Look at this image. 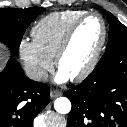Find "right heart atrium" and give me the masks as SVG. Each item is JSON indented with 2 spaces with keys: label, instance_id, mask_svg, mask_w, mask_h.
<instances>
[{
  "label": "right heart atrium",
  "instance_id": "obj_1",
  "mask_svg": "<svg viewBox=\"0 0 127 127\" xmlns=\"http://www.w3.org/2000/svg\"><path fill=\"white\" fill-rule=\"evenodd\" d=\"M19 57L31 79L43 81L53 68V60L45 55L34 41L22 39L18 46Z\"/></svg>",
  "mask_w": 127,
  "mask_h": 127
}]
</instances>
